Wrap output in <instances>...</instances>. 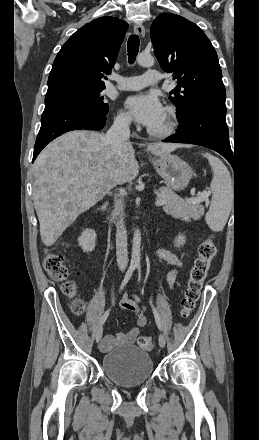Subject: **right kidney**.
Masks as SVG:
<instances>
[{"label":"right kidney","instance_id":"right-kidney-1","mask_svg":"<svg viewBox=\"0 0 259 440\" xmlns=\"http://www.w3.org/2000/svg\"><path fill=\"white\" fill-rule=\"evenodd\" d=\"M96 232L93 229H85L78 238V244L85 252H92L96 246Z\"/></svg>","mask_w":259,"mask_h":440}]
</instances>
